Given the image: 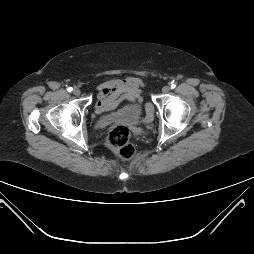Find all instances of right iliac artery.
Wrapping results in <instances>:
<instances>
[{
  "mask_svg": "<svg viewBox=\"0 0 254 254\" xmlns=\"http://www.w3.org/2000/svg\"><path fill=\"white\" fill-rule=\"evenodd\" d=\"M67 90H68V92H71L73 90V88L72 87H68Z\"/></svg>",
  "mask_w": 254,
  "mask_h": 254,
  "instance_id": "1",
  "label": "right iliac artery"
}]
</instances>
